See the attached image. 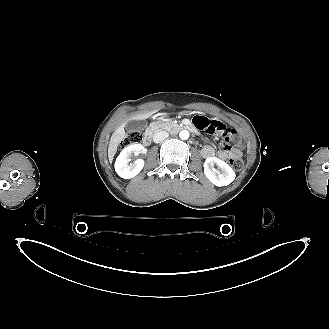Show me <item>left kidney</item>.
<instances>
[{
    "instance_id": "5707ae66",
    "label": "left kidney",
    "mask_w": 329,
    "mask_h": 329,
    "mask_svg": "<svg viewBox=\"0 0 329 329\" xmlns=\"http://www.w3.org/2000/svg\"><path fill=\"white\" fill-rule=\"evenodd\" d=\"M217 165L221 169V173H216L213 165ZM205 176L216 186L229 185L235 179L234 170L223 160L217 157H209L204 162Z\"/></svg>"
}]
</instances>
